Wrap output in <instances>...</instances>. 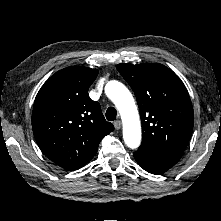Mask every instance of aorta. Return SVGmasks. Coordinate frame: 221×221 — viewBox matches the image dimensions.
Instances as JSON below:
<instances>
[{"instance_id":"1","label":"aorta","mask_w":221,"mask_h":221,"mask_svg":"<svg viewBox=\"0 0 221 221\" xmlns=\"http://www.w3.org/2000/svg\"><path fill=\"white\" fill-rule=\"evenodd\" d=\"M105 92L121 114L125 144L131 149L138 148L141 143V126L132 94L118 81L108 82Z\"/></svg>"}]
</instances>
